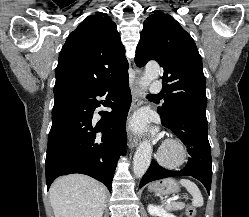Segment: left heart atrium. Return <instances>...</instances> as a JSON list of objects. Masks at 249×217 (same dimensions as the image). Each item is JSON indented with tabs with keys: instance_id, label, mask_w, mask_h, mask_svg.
I'll return each mask as SVG.
<instances>
[{
	"instance_id": "obj_1",
	"label": "left heart atrium",
	"mask_w": 249,
	"mask_h": 217,
	"mask_svg": "<svg viewBox=\"0 0 249 217\" xmlns=\"http://www.w3.org/2000/svg\"><path fill=\"white\" fill-rule=\"evenodd\" d=\"M134 125L137 129H142L144 126V120L142 118H137L134 122Z\"/></svg>"
}]
</instances>
